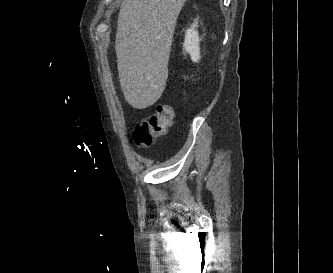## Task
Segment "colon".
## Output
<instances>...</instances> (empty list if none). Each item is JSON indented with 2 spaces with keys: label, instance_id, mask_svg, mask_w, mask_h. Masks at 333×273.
<instances>
[{
  "label": "colon",
  "instance_id": "colon-1",
  "mask_svg": "<svg viewBox=\"0 0 333 273\" xmlns=\"http://www.w3.org/2000/svg\"><path fill=\"white\" fill-rule=\"evenodd\" d=\"M174 120V109L169 104H158L154 114L137 124L133 139L139 147H149L167 133Z\"/></svg>",
  "mask_w": 333,
  "mask_h": 273
}]
</instances>
